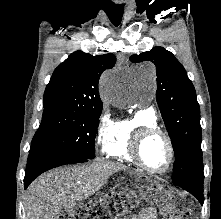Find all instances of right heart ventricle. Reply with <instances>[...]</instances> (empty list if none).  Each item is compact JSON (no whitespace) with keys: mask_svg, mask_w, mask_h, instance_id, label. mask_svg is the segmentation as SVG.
Wrapping results in <instances>:
<instances>
[{"mask_svg":"<svg viewBox=\"0 0 221 219\" xmlns=\"http://www.w3.org/2000/svg\"><path fill=\"white\" fill-rule=\"evenodd\" d=\"M139 126H157L155 113L149 110H140L128 118L114 121L109 143L105 150L107 156L133 163L134 160L129 153V144L132 133Z\"/></svg>","mask_w":221,"mask_h":219,"instance_id":"right-heart-ventricle-1","label":"right heart ventricle"}]
</instances>
